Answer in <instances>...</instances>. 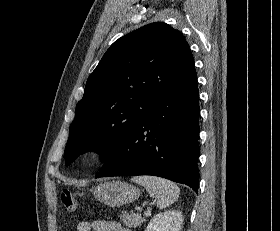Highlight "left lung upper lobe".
<instances>
[{
	"instance_id": "1",
	"label": "left lung upper lobe",
	"mask_w": 280,
	"mask_h": 231,
	"mask_svg": "<svg viewBox=\"0 0 280 231\" xmlns=\"http://www.w3.org/2000/svg\"><path fill=\"white\" fill-rule=\"evenodd\" d=\"M195 72L185 38L169 25H145L115 41L89 76L64 158L95 150L107 161L116 144L159 98Z\"/></svg>"
}]
</instances>
